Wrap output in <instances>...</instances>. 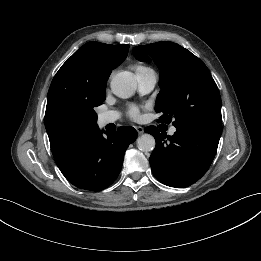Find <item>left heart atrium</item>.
I'll use <instances>...</instances> for the list:
<instances>
[{
	"label": "left heart atrium",
	"mask_w": 261,
	"mask_h": 261,
	"mask_svg": "<svg viewBox=\"0 0 261 261\" xmlns=\"http://www.w3.org/2000/svg\"><path fill=\"white\" fill-rule=\"evenodd\" d=\"M128 114L132 119H139L140 117V108L137 105H131L128 109Z\"/></svg>",
	"instance_id": "obj_1"
}]
</instances>
